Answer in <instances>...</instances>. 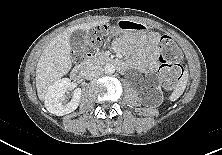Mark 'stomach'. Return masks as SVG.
<instances>
[{
	"label": "stomach",
	"instance_id": "obj_1",
	"mask_svg": "<svg viewBox=\"0 0 222 155\" xmlns=\"http://www.w3.org/2000/svg\"><path fill=\"white\" fill-rule=\"evenodd\" d=\"M149 26L134 20L121 19L114 26L103 29L108 38L121 37L124 41L136 46L148 44Z\"/></svg>",
	"mask_w": 222,
	"mask_h": 155
}]
</instances>
